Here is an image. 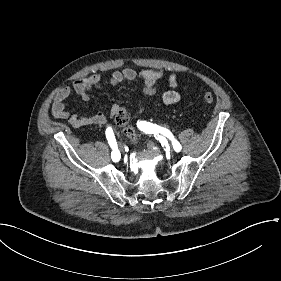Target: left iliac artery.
<instances>
[{
  "label": "left iliac artery",
  "instance_id": "obj_1",
  "mask_svg": "<svg viewBox=\"0 0 281 281\" xmlns=\"http://www.w3.org/2000/svg\"><path fill=\"white\" fill-rule=\"evenodd\" d=\"M137 126L141 131L147 134H153L155 136L158 135V133L163 134L164 136L172 140V145L176 152H179L181 150L180 143L174 139L172 133L168 129L162 128L146 121H138Z\"/></svg>",
  "mask_w": 281,
  "mask_h": 281
}]
</instances>
